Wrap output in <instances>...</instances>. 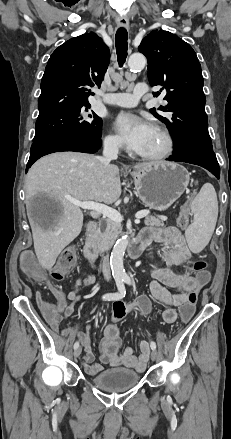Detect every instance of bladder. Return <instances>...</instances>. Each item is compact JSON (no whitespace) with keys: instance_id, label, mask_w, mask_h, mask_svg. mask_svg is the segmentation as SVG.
Returning a JSON list of instances; mask_svg holds the SVG:
<instances>
[{"instance_id":"31cf9c89","label":"bladder","mask_w":231,"mask_h":439,"mask_svg":"<svg viewBox=\"0 0 231 439\" xmlns=\"http://www.w3.org/2000/svg\"><path fill=\"white\" fill-rule=\"evenodd\" d=\"M139 381L138 373L125 368L107 369L91 378L94 386L107 391L130 389L136 386Z\"/></svg>"}]
</instances>
